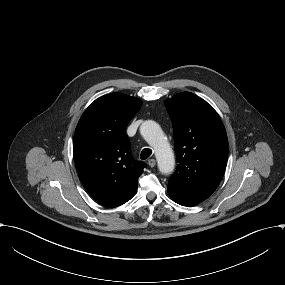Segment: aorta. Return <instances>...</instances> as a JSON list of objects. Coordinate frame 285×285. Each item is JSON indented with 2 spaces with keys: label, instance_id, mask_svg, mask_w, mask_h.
Segmentation results:
<instances>
[{
  "label": "aorta",
  "instance_id": "1",
  "mask_svg": "<svg viewBox=\"0 0 285 285\" xmlns=\"http://www.w3.org/2000/svg\"><path fill=\"white\" fill-rule=\"evenodd\" d=\"M140 133L154 149L160 172L170 174L175 165L174 154L160 126L152 120L145 121Z\"/></svg>",
  "mask_w": 285,
  "mask_h": 285
}]
</instances>
